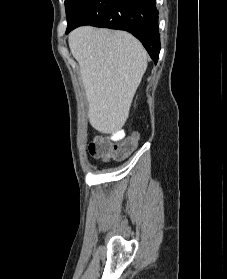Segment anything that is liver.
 Masks as SVG:
<instances>
[{"instance_id": "liver-1", "label": "liver", "mask_w": 227, "mask_h": 279, "mask_svg": "<svg viewBox=\"0 0 227 279\" xmlns=\"http://www.w3.org/2000/svg\"><path fill=\"white\" fill-rule=\"evenodd\" d=\"M68 40L79 63L91 126L106 134L117 132L146 71V50L125 31L90 26L75 29Z\"/></svg>"}]
</instances>
